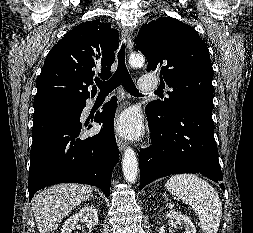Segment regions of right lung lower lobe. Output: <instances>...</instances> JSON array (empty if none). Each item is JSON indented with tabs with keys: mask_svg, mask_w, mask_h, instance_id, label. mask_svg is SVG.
I'll list each match as a JSON object with an SVG mask.
<instances>
[{
	"mask_svg": "<svg viewBox=\"0 0 253 233\" xmlns=\"http://www.w3.org/2000/svg\"><path fill=\"white\" fill-rule=\"evenodd\" d=\"M86 100L78 104L51 103L35 109L30 151L29 200L41 188L71 182L94 185L107 196L119 159L113 130L116 99L106 103L94 121L100 132L83 137L87 124L80 122ZM91 125L87 129H90Z\"/></svg>",
	"mask_w": 253,
	"mask_h": 233,
	"instance_id": "right-lung-lower-lobe-1",
	"label": "right lung lower lobe"
}]
</instances>
